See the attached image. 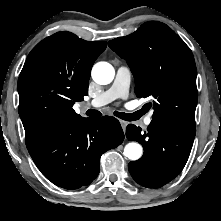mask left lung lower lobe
Here are the masks:
<instances>
[{
    "label": "left lung lower lobe",
    "mask_w": 221,
    "mask_h": 221,
    "mask_svg": "<svg viewBox=\"0 0 221 221\" xmlns=\"http://www.w3.org/2000/svg\"><path fill=\"white\" fill-rule=\"evenodd\" d=\"M126 137L144 147L143 156L128 165L133 179L147 188H159L173 180L184 168L195 131L152 120L145 132L129 124Z\"/></svg>",
    "instance_id": "obj_1"
}]
</instances>
